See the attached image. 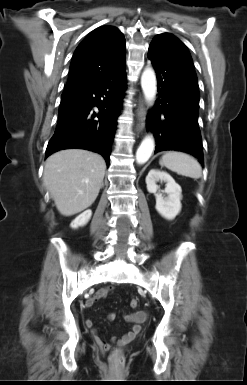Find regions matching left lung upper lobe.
I'll list each match as a JSON object with an SVG mask.
<instances>
[{"label":"left lung upper lobe","mask_w":247,"mask_h":385,"mask_svg":"<svg viewBox=\"0 0 247 385\" xmlns=\"http://www.w3.org/2000/svg\"><path fill=\"white\" fill-rule=\"evenodd\" d=\"M169 34V33H168ZM173 38H174V40L177 42V44H178V47H179V49L189 58V60L192 62V59H191V56H190V54H189V51H188V49L186 48V46L183 44V43H181V41L179 40V39H177L175 36H173L172 34H170Z\"/></svg>","instance_id":"left-lung-upper-lobe-1"}]
</instances>
